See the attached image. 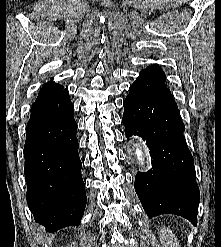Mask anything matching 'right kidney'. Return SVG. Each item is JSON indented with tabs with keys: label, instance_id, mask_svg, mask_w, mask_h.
<instances>
[{
	"label": "right kidney",
	"instance_id": "ca27d5eb",
	"mask_svg": "<svg viewBox=\"0 0 221 247\" xmlns=\"http://www.w3.org/2000/svg\"><path fill=\"white\" fill-rule=\"evenodd\" d=\"M71 247H77V246H76V244H75V243H73V244L71 245Z\"/></svg>",
	"mask_w": 221,
	"mask_h": 247
}]
</instances>
